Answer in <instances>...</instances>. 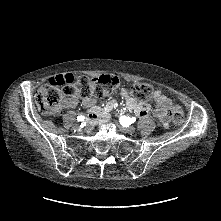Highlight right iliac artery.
<instances>
[{
    "label": "right iliac artery",
    "mask_w": 221,
    "mask_h": 221,
    "mask_svg": "<svg viewBox=\"0 0 221 221\" xmlns=\"http://www.w3.org/2000/svg\"><path fill=\"white\" fill-rule=\"evenodd\" d=\"M84 119H85L84 116H78V117H77V120H78V121H84Z\"/></svg>",
    "instance_id": "1"
}]
</instances>
